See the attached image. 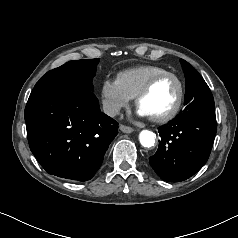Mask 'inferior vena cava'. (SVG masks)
<instances>
[{
  "mask_svg": "<svg viewBox=\"0 0 238 238\" xmlns=\"http://www.w3.org/2000/svg\"><path fill=\"white\" fill-rule=\"evenodd\" d=\"M120 105L117 103H114L112 101H104L103 102V111L108 116L114 117L119 114L120 112Z\"/></svg>",
  "mask_w": 238,
  "mask_h": 238,
  "instance_id": "602c4592",
  "label": "inferior vena cava"
}]
</instances>
